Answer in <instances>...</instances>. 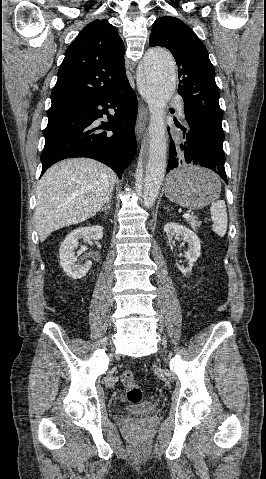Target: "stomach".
Segmentation results:
<instances>
[{"label": "stomach", "mask_w": 266, "mask_h": 479, "mask_svg": "<svg viewBox=\"0 0 266 479\" xmlns=\"http://www.w3.org/2000/svg\"><path fill=\"white\" fill-rule=\"evenodd\" d=\"M164 189L166 197L172 202L190 210H198L219 196L221 184L210 170L184 165L168 175Z\"/></svg>", "instance_id": "0dacf381"}]
</instances>
